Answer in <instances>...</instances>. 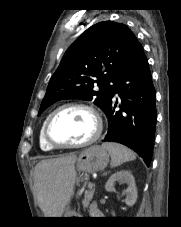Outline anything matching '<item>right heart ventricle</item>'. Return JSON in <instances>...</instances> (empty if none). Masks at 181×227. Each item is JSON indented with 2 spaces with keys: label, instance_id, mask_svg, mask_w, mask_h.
I'll use <instances>...</instances> for the list:
<instances>
[{
  "label": "right heart ventricle",
  "instance_id": "right-heart-ventricle-1",
  "mask_svg": "<svg viewBox=\"0 0 181 227\" xmlns=\"http://www.w3.org/2000/svg\"><path fill=\"white\" fill-rule=\"evenodd\" d=\"M46 119L44 120V122H43V124L41 126V129H40L39 144H40V147H41L42 150H44V151H52L55 148L48 144V142L45 140L44 134H43V130H44V125H45Z\"/></svg>",
  "mask_w": 181,
  "mask_h": 227
}]
</instances>
